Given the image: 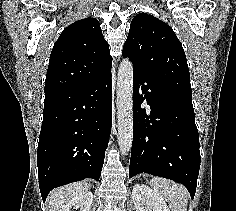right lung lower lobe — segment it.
<instances>
[{
    "label": "right lung lower lobe",
    "instance_id": "obj_1",
    "mask_svg": "<svg viewBox=\"0 0 236 211\" xmlns=\"http://www.w3.org/2000/svg\"><path fill=\"white\" fill-rule=\"evenodd\" d=\"M111 72L83 87L45 95L37 166L43 201L56 187L99 180L111 132Z\"/></svg>",
    "mask_w": 236,
    "mask_h": 211
}]
</instances>
